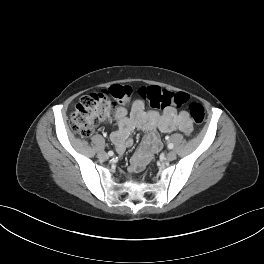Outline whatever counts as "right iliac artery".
I'll return each instance as SVG.
<instances>
[{"mask_svg": "<svg viewBox=\"0 0 264 264\" xmlns=\"http://www.w3.org/2000/svg\"><path fill=\"white\" fill-rule=\"evenodd\" d=\"M108 155H109V156H113V155H114V152H113V151H109V152H108Z\"/></svg>", "mask_w": 264, "mask_h": 264, "instance_id": "obj_1", "label": "right iliac artery"}]
</instances>
